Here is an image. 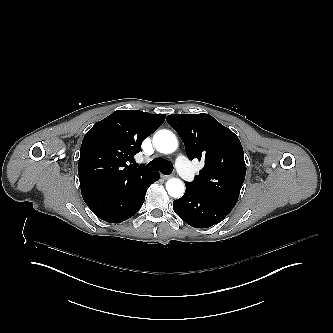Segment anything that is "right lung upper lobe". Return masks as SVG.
<instances>
[{
  "mask_svg": "<svg viewBox=\"0 0 333 333\" xmlns=\"http://www.w3.org/2000/svg\"><path fill=\"white\" fill-rule=\"evenodd\" d=\"M165 117L137 110H117L97 122L85 134L81 145L80 187L124 182L145 172L146 169L129 163L141 151L143 140L163 124Z\"/></svg>",
  "mask_w": 333,
  "mask_h": 333,
  "instance_id": "right-lung-upper-lobe-1",
  "label": "right lung upper lobe"
}]
</instances>
